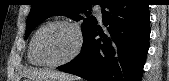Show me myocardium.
<instances>
[{"label": "myocardium", "instance_id": "obj_1", "mask_svg": "<svg viewBox=\"0 0 169 81\" xmlns=\"http://www.w3.org/2000/svg\"><path fill=\"white\" fill-rule=\"evenodd\" d=\"M59 25L67 26L74 30L76 34V45H75L74 50L71 52V54L67 56L65 59L57 61V62H50L46 60L42 54L41 38L45 34V32L48 31L50 28L59 26ZM82 46H83V33H82L81 28L72 21L56 20V21H52L46 24L37 34L36 41H35V52H36L38 59L42 62L43 65L54 68V67H58V66L64 65L72 61L80 53Z\"/></svg>", "mask_w": 169, "mask_h": 81}]
</instances>
